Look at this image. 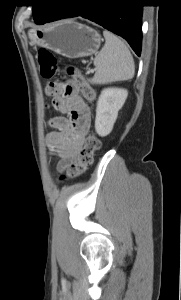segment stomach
I'll return each instance as SVG.
<instances>
[{"label":"stomach","mask_w":181,"mask_h":300,"mask_svg":"<svg viewBox=\"0 0 181 300\" xmlns=\"http://www.w3.org/2000/svg\"><path fill=\"white\" fill-rule=\"evenodd\" d=\"M29 38L32 44L68 58L95 54L102 41L95 29L75 21H62L42 29H32L29 31Z\"/></svg>","instance_id":"stomach-1"}]
</instances>
